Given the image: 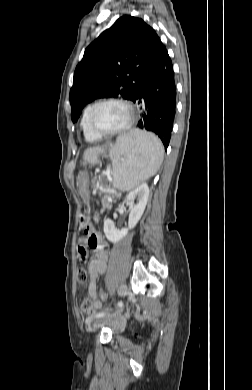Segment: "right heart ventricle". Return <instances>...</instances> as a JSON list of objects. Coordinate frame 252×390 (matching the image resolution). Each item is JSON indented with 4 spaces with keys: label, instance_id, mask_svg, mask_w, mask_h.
Segmentation results:
<instances>
[{
    "label": "right heart ventricle",
    "instance_id": "1",
    "mask_svg": "<svg viewBox=\"0 0 252 390\" xmlns=\"http://www.w3.org/2000/svg\"><path fill=\"white\" fill-rule=\"evenodd\" d=\"M92 106H93V104H88L84 108L83 114H82V118H81V128H82V131H83V135H84V137H85V139L87 141H89V142H97V141L101 140L102 136L97 134L90 127L89 115H90V111H91Z\"/></svg>",
    "mask_w": 252,
    "mask_h": 390
}]
</instances>
